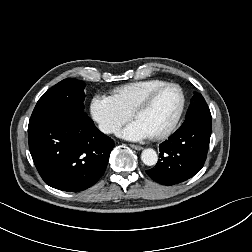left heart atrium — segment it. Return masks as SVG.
<instances>
[{
    "mask_svg": "<svg viewBox=\"0 0 252 252\" xmlns=\"http://www.w3.org/2000/svg\"><path fill=\"white\" fill-rule=\"evenodd\" d=\"M121 136L128 140L138 141L153 137V134L140 120L136 119L121 131Z\"/></svg>",
    "mask_w": 252,
    "mask_h": 252,
    "instance_id": "left-heart-atrium-1",
    "label": "left heart atrium"
}]
</instances>
